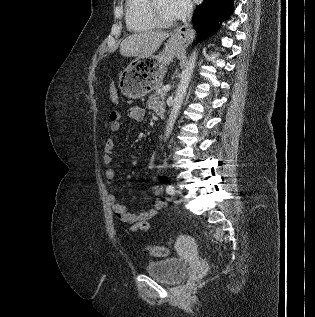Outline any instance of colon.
I'll list each match as a JSON object with an SVG mask.
<instances>
[{"instance_id":"1","label":"colon","mask_w":315,"mask_h":317,"mask_svg":"<svg viewBox=\"0 0 315 317\" xmlns=\"http://www.w3.org/2000/svg\"><path fill=\"white\" fill-rule=\"evenodd\" d=\"M110 94L113 102H117L118 96L114 88H111ZM147 252L155 257H165L168 255V249L166 247L158 245H148Z\"/></svg>"}]
</instances>
